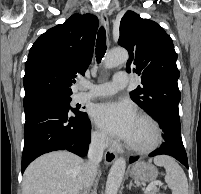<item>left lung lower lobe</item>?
I'll return each mask as SVG.
<instances>
[{"label": "left lung lower lobe", "instance_id": "left-lung-lower-lobe-1", "mask_svg": "<svg viewBox=\"0 0 201 194\" xmlns=\"http://www.w3.org/2000/svg\"><path fill=\"white\" fill-rule=\"evenodd\" d=\"M154 118L158 121L160 128L164 132L165 142L152 152L149 156L169 155L181 162L188 168V159L181 138V127L179 111L173 109H161L157 111ZM138 158H130V163Z\"/></svg>", "mask_w": 201, "mask_h": 194}]
</instances>
